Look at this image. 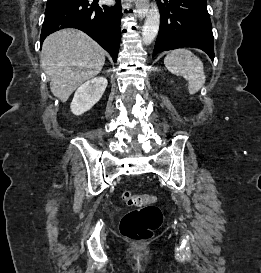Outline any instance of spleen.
Wrapping results in <instances>:
<instances>
[{
	"instance_id": "obj_1",
	"label": "spleen",
	"mask_w": 261,
	"mask_h": 273,
	"mask_svg": "<svg viewBox=\"0 0 261 273\" xmlns=\"http://www.w3.org/2000/svg\"><path fill=\"white\" fill-rule=\"evenodd\" d=\"M164 65L174 75L182 76L188 81V91L196 94L204 85L206 76L202 61L188 49L171 51L164 59Z\"/></svg>"
}]
</instances>
